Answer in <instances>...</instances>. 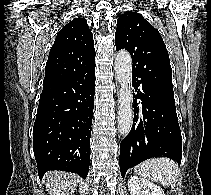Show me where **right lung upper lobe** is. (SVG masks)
<instances>
[{
  "instance_id": "cb5924a9",
  "label": "right lung upper lobe",
  "mask_w": 211,
  "mask_h": 195,
  "mask_svg": "<svg viewBox=\"0 0 211 195\" xmlns=\"http://www.w3.org/2000/svg\"><path fill=\"white\" fill-rule=\"evenodd\" d=\"M94 65L91 30L84 18H75L57 34L46 63L43 84L85 72Z\"/></svg>"
}]
</instances>
